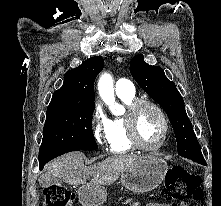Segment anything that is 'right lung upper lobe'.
I'll use <instances>...</instances> for the list:
<instances>
[{"mask_svg":"<svg viewBox=\"0 0 221 206\" xmlns=\"http://www.w3.org/2000/svg\"><path fill=\"white\" fill-rule=\"evenodd\" d=\"M103 66V58L95 56L67 71L63 86L53 94L47 111L94 107V81Z\"/></svg>","mask_w":221,"mask_h":206,"instance_id":"right-lung-upper-lobe-1","label":"right lung upper lobe"}]
</instances>
